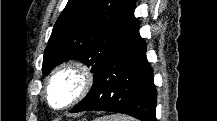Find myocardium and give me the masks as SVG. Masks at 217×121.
I'll use <instances>...</instances> for the list:
<instances>
[{
    "label": "myocardium",
    "instance_id": "obj_1",
    "mask_svg": "<svg viewBox=\"0 0 217 121\" xmlns=\"http://www.w3.org/2000/svg\"><path fill=\"white\" fill-rule=\"evenodd\" d=\"M65 74H71L78 81L72 97L63 105L55 106L51 101V88L54 82ZM95 76L91 67L81 61H69L58 66L48 77L45 85V98L48 105L56 111H63L82 100L94 86Z\"/></svg>",
    "mask_w": 217,
    "mask_h": 121
}]
</instances>
